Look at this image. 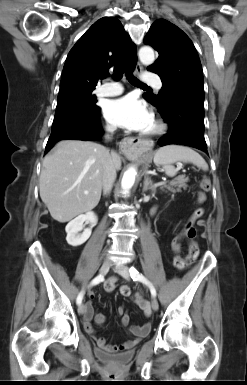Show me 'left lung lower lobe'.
Here are the masks:
<instances>
[{"instance_id":"obj_1","label":"left lung lower lobe","mask_w":247,"mask_h":385,"mask_svg":"<svg viewBox=\"0 0 247 385\" xmlns=\"http://www.w3.org/2000/svg\"><path fill=\"white\" fill-rule=\"evenodd\" d=\"M169 132L158 140L160 146L182 144L207 153L204 138V107L181 97H173L159 110Z\"/></svg>"}]
</instances>
